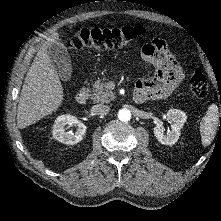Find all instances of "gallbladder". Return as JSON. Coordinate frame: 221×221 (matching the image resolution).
<instances>
[{
	"label": "gallbladder",
	"mask_w": 221,
	"mask_h": 221,
	"mask_svg": "<svg viewBox=\"0 0 221 221\" xmlns=\"http://www.w3.org/2000/svg\"><path fill=\"white\" fill-rule=\"evenodd\" d=\"M48 55L51 63L63 81L71 78L72 66L70 56L62 42H56L48 46Z\"/></svg>",
	"instance_id": "obj_1"
}]
</instances>
